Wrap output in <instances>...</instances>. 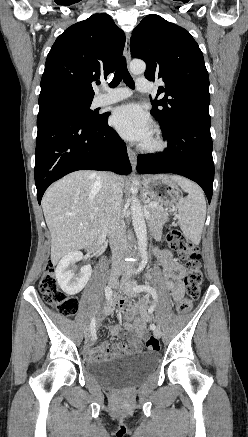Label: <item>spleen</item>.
I'll list each match as a JSON object with an SVG mask.
<instances>
[{
    "label": "spleen",
    "instance_id": "obj_1",
    "mask_svg": "<svg viewBox=\"0 0 248 437\" xmlns=\"http://www.w3.org/2000/svg\"><path fill=\"white\" fill-rule=\"evenodd\" d=\"M171 179L188 193L187 197H180L178 201L180 228L194 244H199L206 218V201L203 191L197 184L184 177L174 175Z\"/></svg>",
    "mask_w": 248,
    "mask_h": 437
}]
</instances>
